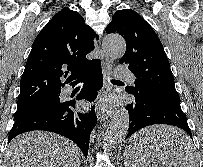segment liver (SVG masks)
<instances>
[{
	"label": "liver",
	"mask_w": 203,
	"mask_h": 167,
	"mask_svg": "<svg viewBox=\"0 0 203 167\" xmlns=\"http://www.w3.org/2000/svg\"><path fill=\"white\" fill-rule=\"evenodd\" d=\"M187 138L184 132L173 127L153 126L135 134L128 146L154 141L161 158L172 163L186 158L187 150L192 149L189 143L185 150L178 146L188 142ZM80 162L78 148L70 140L50 132L32 131L9 143L3 167H78Z\"/></svg>",
	"instance_id": "liver-1"
}]
</instances>
